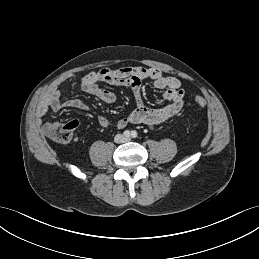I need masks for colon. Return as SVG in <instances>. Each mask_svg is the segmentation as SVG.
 Returning <instances> with one entry per match:
<instances>
[{
  "label": "colon",
  "instance_id": "5ec220e1",
  "mask_svg": "<svg viewBox=\"0 0 259 259\" xmlns=\"http://www.w3.org/2000/svg\"><path fill=\"white\" fill-rule=\"evenodd\" d=\"M195 105L199 108H204L206 101L203 97L198 96L195 98ZM78 127L79 123L77 121L52 122L44 127V132L57 142L70 143L73 141Z\"/></svg>",
  "mask_w": 259,
  "mask_h": 259
}]
</instances>
